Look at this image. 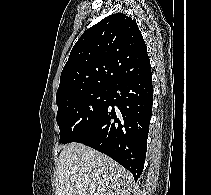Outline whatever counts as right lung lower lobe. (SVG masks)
I'll list each match as a JSON object with an SVG mask.
<instances>
[{"mask_svg": "<svg viewBox=\"0 0 211 195\" xmlns=\"http://www.w3.org/2000/svg\"><path fill=\"white\" fill-rule=\"evenodd\" d=\"M152 92L151 68L121 79L112 86L102 114L74 142L110 156L137 181L146 157Z\"/></svg>", "mask_w": 211, "mask_h": 195, "instance_id": "1", "label": "right lung lower lobe"}]
</instances>
